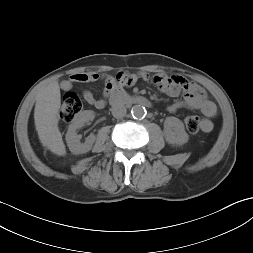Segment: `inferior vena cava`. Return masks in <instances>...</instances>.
I'll return each mask as SVG.
<instances>
[{
    "instance_id": "obj_1",
    "label": "inferior vena cava",
    "mask_w": 253,
    "mask_h": 253,
    "mask_svg": "<svg viewBox=\"0 0 253 253\" xmlns=\"http://www.w3.org/2000/svg\"><path fill=\"white\" fill-rule=\"evenodd\" d=\"M112 111V115L115 117V118H122L126 115V107L124 105H114L111 109Z\"/></svg>"
}]
</instances>
